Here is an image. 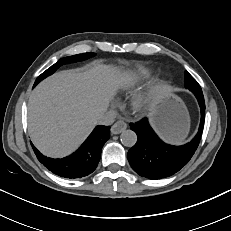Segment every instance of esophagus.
<instances>
[{
    "instance_id": "esophagus-1",
    "label": "esophagus",
    "mask_w": 231,
    "mask_h": 231,
    "mask_svg": "<svg viewBox=\"0 0 231 231\" xmlns=\"http://www.w3.org/2000/svg\"><path fill=\"white\" fill-rule=\"evenodd\" d=\"M126 128H127V124L124 121L119 120L112 125L111 133L112 134H119L122 131H124Z\"/></svg>"
}]
</instances>
